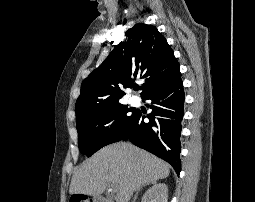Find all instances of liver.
<instances>
[{
	"label": "liver",
	"mask_w": 255,
	"mask_h": 202,
	"mask_svg": "<svg viewBox=\"0 0 255 202\" xmlns=\"http://www.w3.org/2000/svg\"><path fill=\"white\" fill-rule=\"evenodd\" d=\"M170 166L158 157L126 142L100 149L77 169L69 193L100 196L108 184L115 188L116 202H128L146 183L165 179Z\"/></svg>",
	"instance_id": "obj_1"
}]
</instances>
